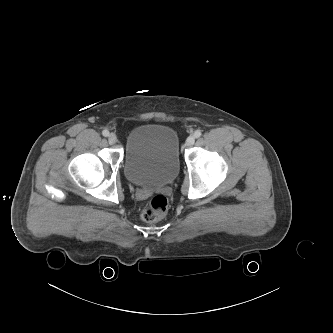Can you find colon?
<instances>
[{"label": "colon", "mask_w": 333, "mask_h": 333, "mask_svg": "<svg viewBox=\"0 0 333 333\" xmlns=\"http://www.w3.org/2000/svg\"><path fill=\"white\" fill-rule=\"evenodd\" d=\"M168 212V202L163 195L154 196L149 205L143 209L141 218L147 222L163 219Z\"/></svg>", "instance_id": "1"}]
</instances>
